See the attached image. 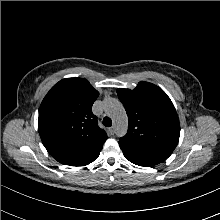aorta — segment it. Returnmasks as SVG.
<instances>
[{
  "label": "aorta",
  "mask_w": 220,
  "mask_h": 220,
  "mask_svg": "<svg viewBox=\"0 0 220 220\" xmlns=\"http://www.w3.org/2000/svg\"><path fill=\"white\" fill-rule=\"evenodd\" d=\"M104 108L113 120L117 136H124L127 132L128 118L123 105L116 99H107Z\"/></svg>",
  "instance_id": "1"
}]
</instances>
